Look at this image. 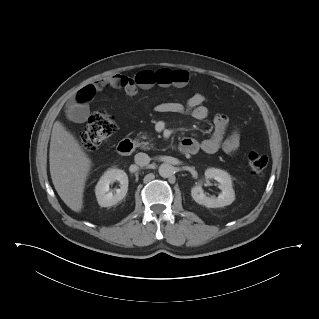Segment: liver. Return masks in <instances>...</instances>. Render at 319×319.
<instances>
[{
    "instance_id": "liver-1",
    "label": "liver",
    "mask_w": 319,
    "mask_h": 319,
    "mask_svg": "<svg viewBox=\"0 0 319 319\" xmlns=\"http://www.w3.org/2000/svg\"><path fill=\"white\" fill-rule=\"evenodd\" d=\"M49 162L51 179L58 195L71 210L80 212L91 159L59 121L52 129Z\"/></svg>"
}]
</instances>
